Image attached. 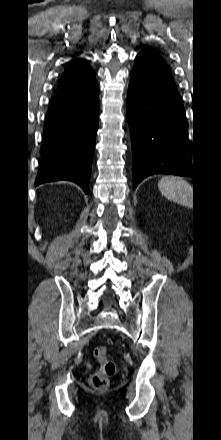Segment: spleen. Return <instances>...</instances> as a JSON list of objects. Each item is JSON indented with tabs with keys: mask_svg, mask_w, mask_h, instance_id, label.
<instances>
[{
	"mask_svg": "<svg viewBox=\"0 0 221 440\" xmlns=\"http://www.w3.org/2000/svg\"><path fill=\"white\" fill-rule=\"evenodd\" d=\"M158 188L167 199L183 206H191L192 187L183 178L172 175L164 176L158 182Z\"/></svg>",
	"mask_w": 221,
	"mask_h": 440,
	"instance_id": "3e777b00",
	"label": "spleen"
}]
</instances>
